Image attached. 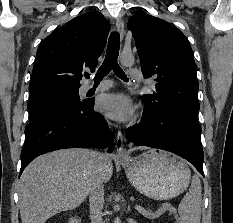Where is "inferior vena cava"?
I'll list each match as a JSON object with an SVG mask.
<instances>
[{"label": "inferior vena cava", "mask_w": 233, "mask_h": 223, "mask_svg": "<svg viewBox=\"0 0 233 223\" xmlns=\"http://www.w3.org/2000/svg\"><path fill=\"white\" fill-rule=\"evenodd\" d=\"M92 157L94 163L91 165L90 179L88 183L91 223H103L102 209L104 203V181L102 179V167L105 153L92 151Z\"/></svg>", "instance_id": "1"}]
</instances>
